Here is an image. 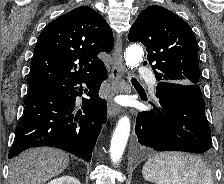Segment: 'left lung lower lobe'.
Here are the masks:
<instances>
[{
	"instance_id": "0a47b994",
	"label": "left lung lower lobe",
	"mask_w": 224,
	"mask_h": 184,
	"mask_svg": "<svg viewBox=\"0 0 224 184\" xmlns=\"http://www.w3.org/2000/svg\"><path fill=\"white\" fill-rule=\"evenodd\" d=\"M154 110L139 112L135 132L141 146L156 151L204 153L212 146L211 130L199 85L159 81Z\"/></svg>"
}]
</instances>
